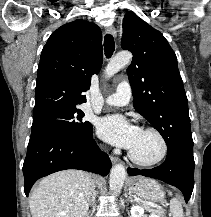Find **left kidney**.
<instances>
[{"instance_id": "left-kidney-1", "label": "left kidney", "mask_w": 211, "mask_h": 217, "mask_svg": "<svg viewBox=\"0 0 211 217\" xmlns=\"http://www.w3.org/2000/svg\"><path fill=\"white\" fill-rule=\"evenodd\" d=\"M131 217H147L144 215V209L138 205H133L131 207ZM149 217H156L154 214H151Z\"/></svg>"}]
</instances>
